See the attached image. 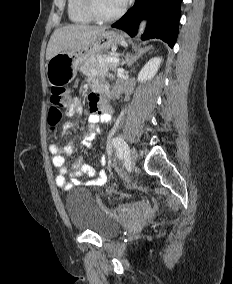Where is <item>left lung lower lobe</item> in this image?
Segmentation results:
<instances>
[{"mask_svg":"<svg viewBox=\"0 0 233 284\" xmlns=\"http://www.w3.org/2000/svg\"><path fill=\"white\" fill-rule=\"evenodd\" d=\"M182 0H136L134 6L112 27L119 28L134 36L143 17L148 19L143 40L158 38L171 48L178 35L180 3Z\"/></svg>","mask_w":233,"mask_h":284,"instance_id":"obj_1","label":"left lung lower lobe"}]
</instances>
